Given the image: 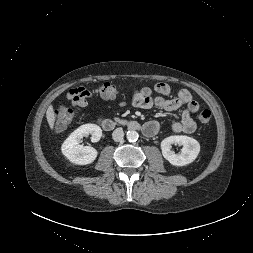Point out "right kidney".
Masks as SVG:
<instances>
[{"label": "right kidney", "mask_w": 253, "mask_h": 253, "mask_svg": "<svg viewBox=\"0 0 253 253\" xmlns=\"http://www.w3.org/2000/svg\"><path fill=\"white\" fill-rule=\"evenodd\" d=\"M88 135H91L92 142H98L102 136V130L98 125L84 124L73 131L64 141L61 150L70 162L77 165H87L96 159L98 155L96 149L90 146L79 145L80 140Z\"/></svg>", "instance_id": "right-kidney-1"}]
</instances>
